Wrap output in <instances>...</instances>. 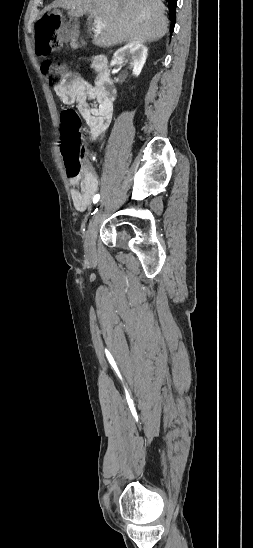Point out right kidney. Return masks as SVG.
Segmentation results:
<instances>
[{
	"label": "right kidney",
	"instance_id": "right-kidney-1",
	"mask_svg": "<svg viewBox=\"0 0 253 548\" xmlns=\"http://www.w3.org/2000/svg\"><path fill=\"white\" fill-rule=\"evenodd\" d=\"M147 52V47L142 43L129 42L115 52L114 59L119 63L129 62L133 75L139 76L146 62Z\"/></svg>",
	"mask_w": 253,
	"mask_h": 548
}]
</instances>
